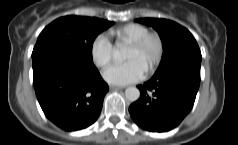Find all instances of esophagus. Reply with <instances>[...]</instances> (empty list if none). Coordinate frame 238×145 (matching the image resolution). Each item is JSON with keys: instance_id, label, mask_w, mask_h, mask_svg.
Instances as JSON below:
<instances>
[{"instance_id": "1", "label": "esophagus", "mask_w": 238, "mask_h": 145, "mask_svg": "<svg viewBox=\"0 0 238 145\" xmlns=\"http://www.w3.org/2000/svg\"><path fill=\"white\" fill-rule=\"evenodd\" d=\"M109 88H110V90H122V89H125V87H123V86H115V85H111Z\"/></svg>"}]
</instances>
